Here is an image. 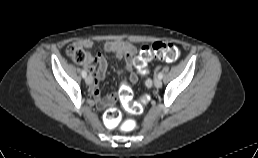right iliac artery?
<instances>
[{
    "label": "right iliac artery",
    "mask_w": 258,
    "mask_h": 158,
    "mask_svg": "<svg viewBox=\"0 0 258 158\" xmlns=\"http://www.w3.org/2000/svg\"><path fill=\"white\" fill-rule=\"evenodd\" d=\"M81 74H82V77H83V78H85V77L87 76V73H86L85 70H82V73H81Z\"/></svg>",
    "instance_id": "1"
}]
</instances>
